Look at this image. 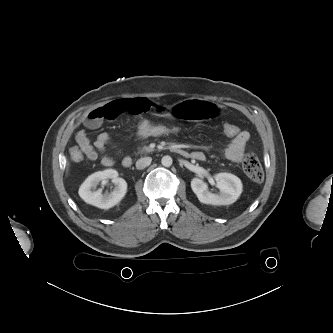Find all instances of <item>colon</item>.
<instances>
[{"mask_svg": "<svg viewBox=\"0 0 333 333\" xmlns=\"http://www.w3.org/2000/svg\"><path fill=\"white\" fill-rule=\"evenodd\" d=\"M181 125L176 121L162 120V121H139L135 130L134 137L137 139H149L156 137H167L178 135L182 132ZM223 132L230 138L236 137L240 133L237 125L232 123H225ZM71 159L75 162H80L84 159L82 152L72 147L70 149ZM243 170L245 174L253 181L260 182L264 177V172L259 158L254 153H248L243 160Z\"/></svg>", "mask_w": 333, "mask_h": 333, "instance_id": "5ec220e1", "label": "colon"}]
</instances>
